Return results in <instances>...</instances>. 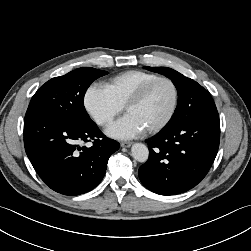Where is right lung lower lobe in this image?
<instances>
[{"instance_id": "1", "label": "right lung lower lobe", "mask_w": 251, "mask_h": 251, "mask_svg": "<svg viewBox=\"0 0 251 251\" xmlns=\"http://www.w3.org/2000/svg\"><path fill=\"white\" fill-rule=\"evenodd\" d=\"M92 141L91 147L80 145ZM26 154L43 182L54 191L75 196L103 179L119 143L107 138L93 122L78 126L41 111H27L24 121Z\"/></svg>"}]
</instances>
